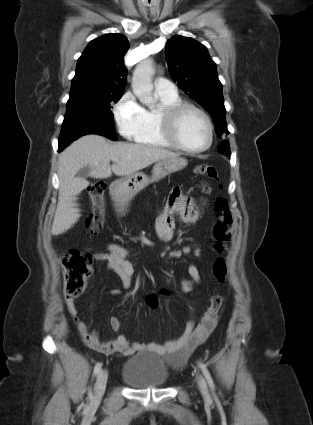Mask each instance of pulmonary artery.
<instances>
[{
	"mask_svg": "<svg viewBox=\"0 0 313 425\" xmlns=\"http://www.w3.org/2000/svg\"><path fill=\"white\" fill-rule=\"evenodd\" d=\"M154 84L158 94L170 97L177 96V89L170 80L166 78H157Z\"/></svg>",
	"mask_w": 313,
	"mask_h": 425,
	"instance_id": "obj_1",
	"label": "pulmonary artery"
}]
</instances>
